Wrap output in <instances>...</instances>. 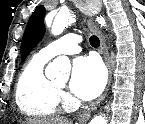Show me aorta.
Here are the masks:
<instances>
[{
    "mask_svg": "<svg viewBox=\"0 0 145 124\" xmlns=\"http://www.w3.org/2000/svg\"><path fill=\"white\" fill-rule=\"evenodd\" d=\"M71 19L72 16L68 13H58L51 27L52 34L60 35ZM97 21L101 26H105L106 24L103 17H98ZM70 69L71 64L69 58L60 56L48 64L45 70V75L48 79H54L60 75H63L64 79H68ZM90 124H107V120L103 116H96L91 120Z\"/></svg>",
    "mask_w": 145,
    "mask_h": 124,
    "instance_id": "aorta-1",
    "label": "aorta"
}]
</instances>
